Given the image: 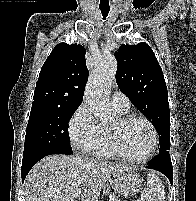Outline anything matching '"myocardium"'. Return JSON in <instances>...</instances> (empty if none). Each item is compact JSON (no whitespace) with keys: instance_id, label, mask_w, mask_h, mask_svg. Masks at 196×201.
Listing matches in <instances>:
<instances>
[{"instance_id":"f54148a6","label":"myocardium","mask_w":196,"mask_h":201,"mask_svg":"<svg viewBox=\"0 0 196 201\" xmlns=\"http://www.w3.org/2000/svg\"><path fill=\"white\" fill-rule=\"evenodd\" d=\"M136 121L144 122L149 127V129L151 130V133H152V147L145 156L140 157V158H135V157L131 156L129 154V152L126 150V148L124 146V142H123L124 128ZM111 134H112L114 145H115L118 153L124 160H126L130 163H133V164L146 163L154 156V154L157 151L158 143H159V136H158L157 129L154 126V124L148 118H146L144 116H141V115L121 116L118 119L117 127H113L111 129Z\"/></svg>"}]
</instances>
